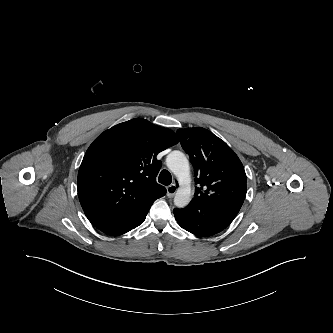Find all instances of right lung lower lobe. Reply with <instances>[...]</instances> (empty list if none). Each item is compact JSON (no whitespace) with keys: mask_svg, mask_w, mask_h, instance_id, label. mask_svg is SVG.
<instances>
[{"mask_svg":"<svg viewBox=\"0 0 333 333\" xmlns=\"http://www.w3.org/2000/svg\"><path fill=\"white\" fill-rule=\"evenodd\" d=\"M147 213H148V211L137 217L131 218L129 220L106 224V225L99 226L97 228H99L102 232H104L108 235H112V236L121 235L126 232H129L130 230H132V229L136 228L137 226H139L140 224H142L146 218Z\"/></svg>","mask_w":333,"mask_h":333,"instance_id":"right-lung-lower-lobe-1","label":"right lung lower lobe"}]
</instances>
